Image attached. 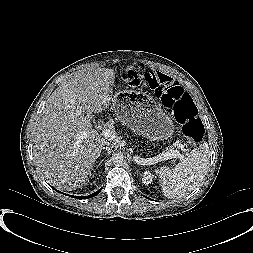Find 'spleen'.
Segmentation results:
<instances>
[{
  "instance_id": "3e777b00",
  "label": "spleen",
  "mask_w": 253,
  "mask_h": 253,
  "mask_svg": "<svg viewBox=\"0 0 253 253\" xmlns=\"http://www.w3.org/2000/svg\"><path fill=\"white\" fill-rule=\"evenodd\" d=\"M210 161L207 144L194 148L173 168L163 166L155 172L160 178L162 192L168 199H178L189 194L202 181Z\"/></svg>"
}]
</instances>
